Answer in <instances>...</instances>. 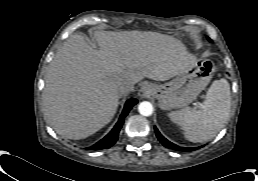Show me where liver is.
<instances>
[{"label":"liver","instance_id":"obj_1","mask_svg":"<svg viewBox=\"0 0 258 181\" xmlns=\"http://www.w3.org/2000/svg\"><path fill=\"white\" fill-rule=\"evenodd\" d=\"M94 37L99 50L82 35L70 36L46 73L44 115L68 139H84L112 120L121 85L166 81L197 61L180 40L156 32L95 31Z\"/></svg>","mask_w":258,"mask_h":181}]
</instances>
